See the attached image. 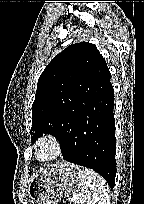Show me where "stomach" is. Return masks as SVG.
I'll return each mask as SVG.
<instances>
[{"instance_id": "obj_1", "label": "stomach", "mask_w": 144, "mask_h": 204, "mask_svg": "<svg viewBox=\"0 0 144 204\" xmlns=\"http://www.w3.org/2000/svg\"><path fill=\"white\" fill-rule=\"evenodd\" d=\"M81 169L67 163H56L40 170L27 192L31 204H57L63 197L75 195L81 181Z\"/></svg>"}]
</instances>
